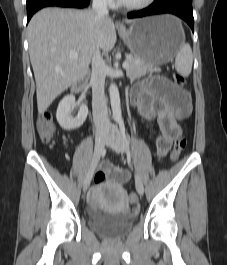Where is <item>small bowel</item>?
Segmentation results:
<instances>
[{"label":"small bowel","instance_id":"small-bowel-1","mask_svg":"<svg viewBox=\"0 0 227 265\" xmlns=\"http://www.w3.org/2000/svg\"><path fill=\"white\" fill-rule=\"evenodd\" d=\"M132 102L139 115L146 121H156L159 133L156 137L157 156L163 158L174 139L182 134L179 120L186 119L192 112L189 94L163 76H156L137 85L132 91ZM103 170L114 184H123L130 179L127 170L104 164ZM92 208L96 197H90Z\"/></svg>","mask_w":227,"mask_h":265}]
</instances>
